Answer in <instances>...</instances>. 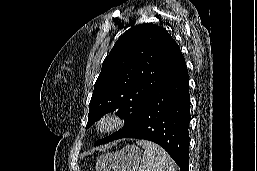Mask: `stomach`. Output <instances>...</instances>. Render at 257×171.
I'll return each mask as SVG.
<instances>
[{"label":"stomach","instance_id":"stomach-1","mask_svg":"<svg viewBox=\"0 0 257 171\" xmlns=\"http://www.w3.org/2000/svg\"><path fill=\"white\" fill-rule=\"evenodd\" d=\"M141 151L128 145L120 151L101 155L96 163V171H137Z\"/></svg>","mask_w":257,"mask_h":171}]
</instances>
